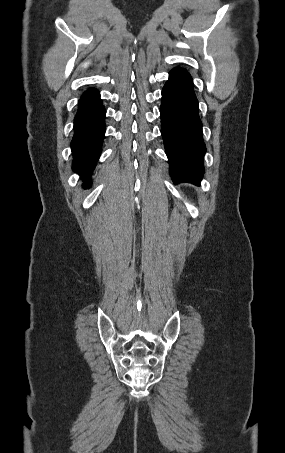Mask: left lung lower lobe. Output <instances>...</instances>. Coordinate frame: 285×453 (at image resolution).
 Segmentation results:
<instances>
[{"mask_svg": "<svg viewBox=\"0 0 285 453\" xmlns=\"http://www.w3.org/2000/svg\"><path fill=\"white\" fill-rule=\"evenodd\" d=\"M161 134L174 183L199 185L203 173V141L199 105L189 73L176 67L162 90Z\"/></svg>", "mask_w": 285, "mask_h": 453, "instance_id": "obj_1", "label": "left lung lower lobe"}]
</instances>
